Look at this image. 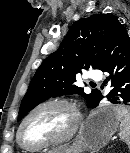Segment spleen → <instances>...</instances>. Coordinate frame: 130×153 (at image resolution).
I'll list each match as a JSON object with an SVG mask.
<instances>
[{"label":"spleen","mask_w":130,"mask_h":153,"mask_svg":"<svg viewBox=\"0 0 130 153\" xmlns=\"http://www.w3.org/2000/svg\"><path fill=\"white\" fill-rule=\"evenodd\" d=\"M115 111L120 121V138L130 149V109L125 107H116Z\"/></svg>","instance_id":"3e777b00"}]
</instances>
